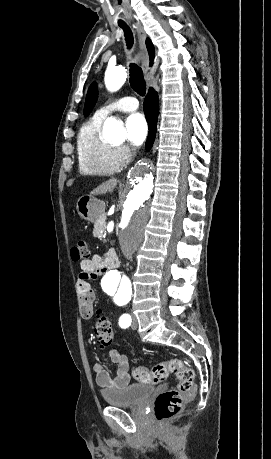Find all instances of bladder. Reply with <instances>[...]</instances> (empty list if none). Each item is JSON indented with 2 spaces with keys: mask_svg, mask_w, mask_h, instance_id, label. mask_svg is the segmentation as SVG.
<instances>
[{
  "mask_svg": "<svg viewBox=\"0 0 271 459\" xmlns=\"http://www.w3.org/2000/svg\"><path fill=\"white\" fill-rule=\"evenodd\" d=\"M155 387L149 383L130 384L124 390H104V401L110 405H139L149 398Z\"/></svg>",
  "mask_w": 271,
  "mask_h": 459,
  "instance_id": "1",
  "label": "bladder"
}]
</instances>
